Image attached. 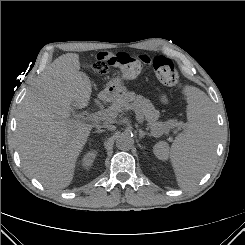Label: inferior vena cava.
Returning <instances> with one entry per match:
<instances>
[{"mask_svg": "<svg viewBox=\"0 0 245 245\" xmlns=\"http://www.w3.org/2000/svg\"><path fill=\"white\" fill-rule=\"evenodd\" d=\"M97 128H101L104 127L110 131H113L116 129V127L114 125H110V124H104V125H96Z\"/></svg>", "mask_w": 245, "mask_h": 245, "instance_id": "1", "label": "inferior vena cava"}]
</instances>
